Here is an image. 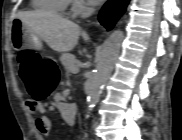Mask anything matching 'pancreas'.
<instances>
[{
	"label": "pancreas",
	"instance_id": "1",
	"mask_svg": "<svg viewBox=\"0 0 182 140\" xmlns=\"http://www.w3.org/2000/svg\"><path fill=\"white\" fill-rule=\"evenodd\" d=\"M60 60L67 72H72L77 68V60L72 54H64Z\"/></svg>",
	"mask_w": 182,
	"mask_h": 140
}]
</instances>
